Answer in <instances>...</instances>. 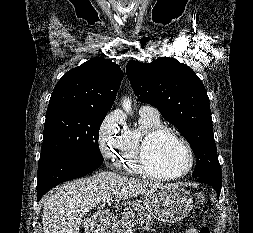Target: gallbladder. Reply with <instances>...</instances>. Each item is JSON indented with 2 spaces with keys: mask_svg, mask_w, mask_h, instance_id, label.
<instances>
[{
  "mask_svg": "<svg viewBox=\"0 0 253 233\" xmlns=\"http://www.w3.org/2000/svg\"><path fill=\"white\" fill-rule=\"evenodd\" d=\"M86 221H87V219H84V220H83V223L85 224V223H86Z\"/></svg>",
  "mask_w": 253,
  "mask_h": 233,
  "instance_id": "obj_1",
  "label": "gallbladder"
}]
</instances>
